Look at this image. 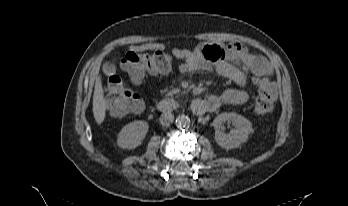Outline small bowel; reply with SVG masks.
Segmentation results:
<instances>
[{"label":"small bowel","instance_id":"c3829d8e","mask_svg":"<svg viewBox=\"0 0 348 206\" xmlns=\"http://www.w3.org/2000/svg\"><path fill=\"white\" fill-rule=\"evenodd\" d=\"M147 47L161 49L163 45L151 43ZM172 53L177 59L181 60L179 70L182 73L207 71L210 67H213L218 75L237 84V88L226 89L220 94L210 97L212 101L211 112L216 111L223 105L245 103L249 98L247 77L233 63H241L248 70L259 75L272 72V67L265 58L255 54L245 44L239 42H230L225 46L201 44L192 50L174 48Z\"/></svg>","mask_w":348,"mask_h":206}]
</instances>
